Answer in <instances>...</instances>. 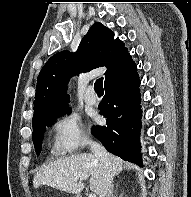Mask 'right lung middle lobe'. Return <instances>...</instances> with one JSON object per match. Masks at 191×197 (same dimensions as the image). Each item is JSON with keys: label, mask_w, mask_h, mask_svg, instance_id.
I'll list each match as a JSON object with an SVG mask.
<instances>
[{"label": "right lung middle lobe", "mask_w": 191, "mask_h": 197, "mask_svg": "<svg viewBox=\"0 0 191 197\" xmlns=\"http://www.w3.org/2000/svg\"><path fill=\"white\" fill-rule=\"evenodd\" d=\"M70 112H71V109L62 111L54 116H51L45 119L44 121H42L41 123L33 127L32 138H33V143H34V147H35L37 155H39V152L41 150L43 135H44L46 126H50L52 122L55 121L59 116H62L66 113L69 114Z\"/></svg>", "instance_id": "1"}]
</instances>
